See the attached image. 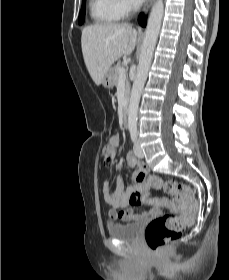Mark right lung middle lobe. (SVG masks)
Listing matches in <instances>:
<instances>
[{
    "label": "right lung middle lobe",
    "mask_w": 229,
    "mask_h": 280,
    "mask_svg": "<svg viewBox=\"0 0 229 280\" xmlns=\"http://www.w3.org/2000/svg\"><path fill=\"white\" fill-rule=\"evenodd\" d=\"M86 0H82V8L80 11L78 22L81 25L85 20Z\"/></svg>",
    "instance_id": "right-lung-middle-lobe-1"
}]
</instances>
